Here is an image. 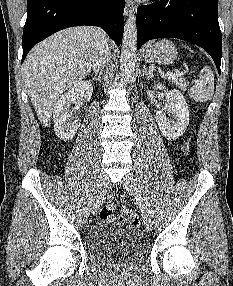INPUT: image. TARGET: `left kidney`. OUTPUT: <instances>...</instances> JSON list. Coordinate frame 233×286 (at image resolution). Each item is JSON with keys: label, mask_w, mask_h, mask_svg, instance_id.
<instances>
[{"label": "left kidney", "mask_w": 233, "mask_h": 286, "mask_svg": "<svg viewBox=\"0 0 233 286\" xmlns=\"http://www.w3.org/2000/svg\"><path fill=\"white\" fill-rule=\"evenodd\" d=\"M153 89L163 90L166 87L162 84H156ZM165 109L168 113H172L175 121L169 122L163 109L156 112V122L163 136L174 141L184 134L189 124V109L183 94L178 90L169 91L166 94Z\"/></svg>", "instance_id": "obj_1"}]
</instances>
